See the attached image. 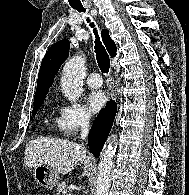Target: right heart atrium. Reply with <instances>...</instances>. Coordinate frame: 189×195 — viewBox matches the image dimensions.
<instances>
[{"mask_svg":"<svg viewBox=\"0 0 189 195\" xmlns=\"http://www.w3.org/2000/svg\"><path fill=\"white\" fill-rule=\"evenodd\" d=\"M91 115L80 103L61 105L56 120L59 132L65 135H74L90 124Z\"/></svg>","mask_w":189,"mask_h":195,"instance_id":"d8ad5b80","label":"right heart atrium"}]
</instances>
